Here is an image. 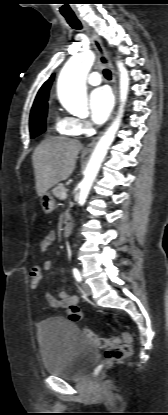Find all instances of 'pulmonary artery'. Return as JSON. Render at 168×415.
I'll return each instance as SVG.
<instances>
[{
	"label": "pulmonary artery",
	"mask_w": 168,
	"mask_h": 415,
	"mask_svg": "<svg viewBox=\"0 0 168 415\" xmlns=\"http://www.w3.org/2000/svg\"><path fill=\"white\" fill-rule=\"evenodd\" d=\"M87 83L91 86H97L101 83V77L98 72H92L88 78Z\"/></svg>",
	"instance_id": "1"
}]
</instances>
